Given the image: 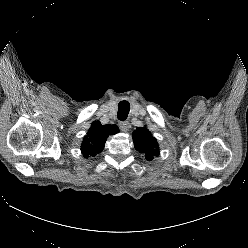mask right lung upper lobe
<instances>
[{"label":"right lung upper lobe","mask_w":248,"mask_h":248,"mask_svg":"<svg viewBox=\"0 0 248 248\" xmlns=\"http://www.w3.org/2000/svg\"><path fill=\"white\" fill-rule=\"evenodd\" d=\"M118 132L119 128L116 125L107 124L103 126L100 121H94L82 142L81 152L83 156L86 158L100 153L108 136Z\"/></svg>","instance_id":"right-lung-upper-lobe-1"}]
</instances>
